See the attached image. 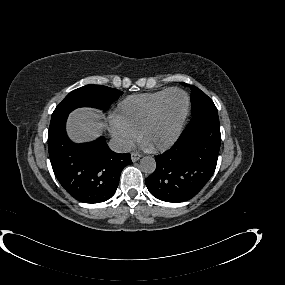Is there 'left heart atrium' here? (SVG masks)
<instances>
[{"instance_id":"obj_1","label":"left heart atrium","mask_w":285,"mask_h":285,"mask_svg":"<svg viewBox=\"0 0 285 285\" xmlns=\"http://www.w3.org/2000/svg\"><path fill=\"white\" fill-rule=\"evenodd\" d=\"M142 144L145 146V147H150V145H148V144H146V143H144V142H142Z\"/></svg>"}]
</instances>
